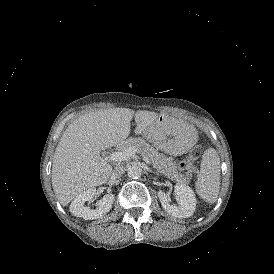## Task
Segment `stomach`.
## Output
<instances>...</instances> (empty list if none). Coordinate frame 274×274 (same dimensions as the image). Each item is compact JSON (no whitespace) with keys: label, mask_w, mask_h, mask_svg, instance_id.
Listing matches in <instances>:
<instances>
[{"label":"stomach","mask_w":274,"mask_h":274,"mask_svg":"<svg viewBox=\"0 0 274 274\" xmlns=\"http://www.w3.org/2000/svg\"><path fill=\"white\" fill-rule=\"evenodd\" d=\"M146 136L165 154L181 156L197 143V130L180 120L160 114L158 120Z\"/></svg>","instance_id":"obj_1"}]
</instances>
